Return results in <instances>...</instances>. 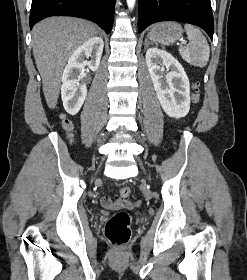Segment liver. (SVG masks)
<instances>
[{
  "instance_id": "1",
  "label": "liver",
  "mask_w": 247,
  "mask_h": 280,
  "mask_svg": "<svg viewBox=\"0 0 247 280\" xmlns=\"http://www.w3.org/2000/svg\"><path fill=\"white\" fill-rule=\"evenodd\" d=\"M96 34L94 24L74 17H50L33 27V55L50 109L57 104L63 69L71 54Z\"/></svg>"
}]
</instances>
